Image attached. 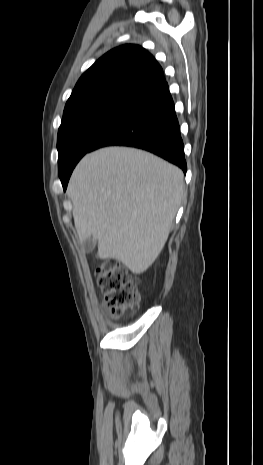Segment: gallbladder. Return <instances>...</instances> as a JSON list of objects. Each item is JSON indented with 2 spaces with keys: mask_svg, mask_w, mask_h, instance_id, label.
Here are the masks:
<instances>
[{
  "mask_svg": "<svg viewBox=\"0 0 263 465\" xmlns=\"http://www.w3.org/2000/svg\"><path fill=\"white\" fill-rule=\"evenodd\" d=\"M96 242L93 237H90L82 243L81 248L84 252L90 253L94 250Z\"/></svg>",
  "mask_w": 263,
  "mask_h": 465,
  "instance_id": "1",
  "label": "gallbladder"
}]
</instances>
